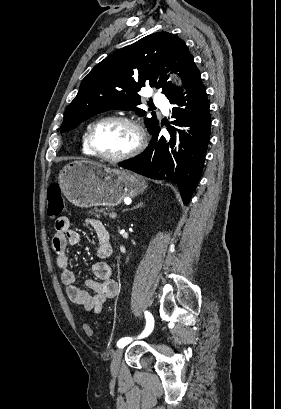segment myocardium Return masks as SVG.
I'll return each mask as SVG.
<instances>
[{"instance_id": "obj_1", "label": "myocardium", "mask_w": 281, "mask_h": 409, "mask_svg": "<svg viewBox=\"0 0 281 409\" xmlns=\"http://www.w3.org/2000/svg\"><path fill=\"white\" fill-rule=\"evenodd\" d=\"M109 122L125 123L131 126L137 133V143L135 144V146L122 155L107 156V155L101 154L97 149L96 136H97L98 130L100 129L102 125L109 123ZM145 143H146V133L143 127L136 120L129 118L127 116H123V115L105 116L99 119L98 121H96L95 125L92 128L90 139H89V144H90V148L92 150L93 155L101 160L112 162V163L123 162V161L129 160L137 156L144 149Z\"/></svg>"}]
</instances>
